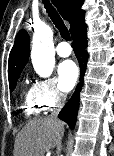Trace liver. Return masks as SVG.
<instances>
[{
	"label": "liver",
	"mask_w": 114,
	"mask_h": 156,
	"mask_svg": "<svg viewBox=\"0 0 114 156\" xmlns=\"http://www.w3.org/2000/svg\"><path fill=\"white\" fill-rule=\"evenodd\" d=\"M63 131L64 122L58 119H32L16 136L13 156H44L60 145Z\"/></svg>",
	"instance_id": "liver-1"
}]
</instances>
